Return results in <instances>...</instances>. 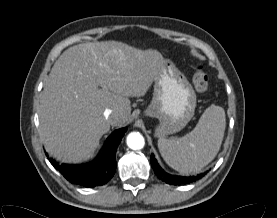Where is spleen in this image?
<instances>
[{"instance_id": "obj_1", "label": "spleen", "mask_w": 277, "mask_h": 218, "mask_svg": "<svg viewBox=\"0 0 277 218\" xmlns=\"http://www.w3.org/2000/svg\"><path fill=\"white\" fill-rule=\"evenodd\" d=\"M225 127L224 109L211 105L189 134L178 139L159 138L161 156L170 167L180 173L199 172L217 155Z\"/></svg>"}]
</instances>
